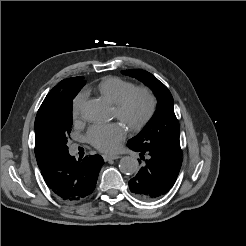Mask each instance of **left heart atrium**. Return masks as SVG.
<instances>
[{
	"label": "left heart atrium",
	"mask_w": 246,
	"mask_h": 246,
	"mask_svg": "<svg viewBox=\"0 0 246 246\" xmlns=\"http://www.w3.org/2000/svg\"><path fill=\"white\" fill-rule=\"evenodd\" d=\"M126 136V127L121 122L97 123L87 133L89 143L102 152L112 153L119 149Z\"/></svg>",
	"instance_id": "1"
}]
</instances>
